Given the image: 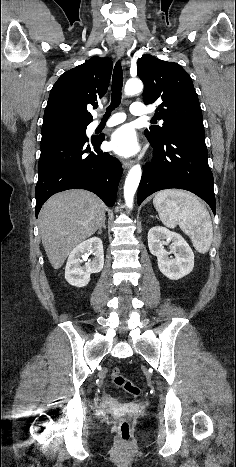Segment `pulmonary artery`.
<instances>
[{
    "instance_id": "1",
    "label": "pulmonary artery",
    "mask_w": 236,
    "mask_h": 467,
    "mask_svg": "<svg viewBox=\"0 0 236 467\" xmlns=\"http://www.w3.org/2000/svg\"><path fill=\"white\" fill-rule=\"evenodd\" d=\"M130 112L134 116H144L147 114V111L142 103H133ZM125 120V115L123 113H116L112 115L108 120L105 121V126H115L117 124L122 123ZM100 125V121H94L93 127H97Z\"/></svg>"
}]
</instances>
